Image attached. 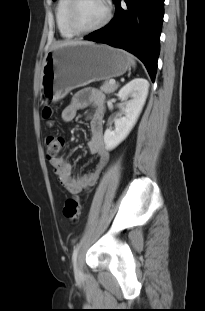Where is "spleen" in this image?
Returning <instances> with one entry per match:
<instances>
[{"label": "spleen", "mask_w": 205, "mask_h": 311, "mask_svg": "<svg viewBox=\"0 0 205 311\" xmlns=\"http://www.w3.org/2000/svg\"><path fill=\"white\" fill-rule=\"evenodd\" d=\"M129 62L134 66L135 65V61H134V59L131 57V56H129Z\"/></svg>", "instance_id": "3e777b00"}]
</instances>
